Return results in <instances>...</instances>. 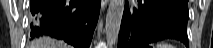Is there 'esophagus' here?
Returning <instances> with one entry per match:
<instances>
[{
	"label": "esophagus",
	"mask_w": 213,
	"mask_h": 48,
	"mask_svg": "<svg viewBox=\"0 0 213 48\" xmlns=\"http://www.w3.org/2000/svg\"><path fill=\"white\" fill-rule=\"evenodd\" d=\"M109 0H102L101 1V9L104 11L106 6L108 5Z\"/></svg>",
	"instance_id": "34e87169"
}]
</instances>
